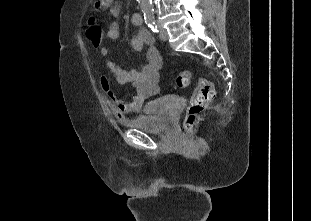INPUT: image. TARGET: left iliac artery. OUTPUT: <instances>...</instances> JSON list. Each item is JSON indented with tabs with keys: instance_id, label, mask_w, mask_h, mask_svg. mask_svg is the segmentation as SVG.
Instances as JSON below:
<instances>
[{
	"instance_id": "44dca946",
	"label": "left iliac artery",
	"mask_w": 311,
	"mask_h": 221,
	"mask_svg": "<svg viewBox=\"0 0 311 221\" xmlns=\"http://www.w3.org/2000/svg\"><path fill=\"white\" fill-rule=\"evenodd\" d=\"M146 23H147L148 27H150V29H151L154 33H157V32H158V25H157L155 19H148V20H146Z\"/></svg>"
}]
</instances>
